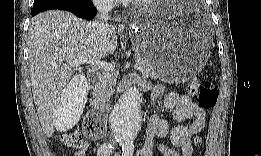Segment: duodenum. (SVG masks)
<instances>
[{"mask_svg":"<svg viewBox=\"0 0 261 156\" xmlns=\"http://www.w3.org/2000/svg\"><path fill=\"white\" fill-rule=\"evenodd\" d=\"M88 78L90 81L97 84L101 78L100 72L98 70L92 69L88 72ZM93 108L94 110H100L105 113L108 109V103L106 100L97 98L94 100Z\"/></svg>","mask_w":261,"mask_h":156,"instance_id":"410a0bca","label":"duodenum"}]
</instances>
